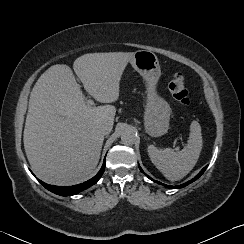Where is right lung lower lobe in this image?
<instances>
[{"instance_id":"obj_1","label":"right lung lower lobe","mask_w":244,"mask_h":244,"mask_svg":"<svg viewBox=\"0 0 244 244\" xmlns=\"http://www.w3.org/2000/svg\"><path fill=\"white\" fill-rule=\"evenodd\" d=\"M104 169H105V159L103 162V165L100 169V171L90 180L78 184V185H74V186H53V185H49L44 183L41 180H38L46 189H48L49 191L61 195V196H71V195H75L87 188H89L90 186L94 185L102 176V174L104 173Z\"/></svg>"}]
</instances>
